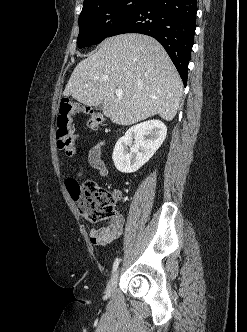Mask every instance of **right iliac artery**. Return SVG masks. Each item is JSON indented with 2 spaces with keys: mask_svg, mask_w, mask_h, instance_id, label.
I'll return each instance as SVG.
<instances>
[{
  "mask_svg": "<svg viewBox=\"0 0 247 332\" xmlns=\"http://www.w3.org/2000/svg\"><path fill=\"white\" fill-rule=\"evenodd\" d=\"M119 262H120V259H119V258H116V259H115V262H114V264H113V269H112V272H113V273L117 270L118 265H119Z\"/></svg>",
  "mask_w": 247,
  "mask_h": 332,
  "instance_id": "82829eb1",
  "label": "right iliac artery"
}]
</instances>
